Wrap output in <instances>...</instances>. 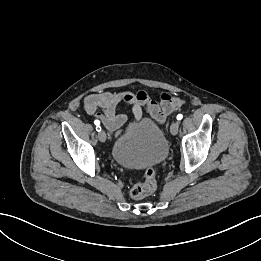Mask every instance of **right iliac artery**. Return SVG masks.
<instances>
[{"label":"right iliac artery","mask_w":261,"mask_h":261,"mask_svg":"<svg viewBox=\"0 0 261 261\" xmlns=\"http://www.w3.org/2000/svg\"><path fill=\"white\" fill-rule=\"evenodd\" d=\"M94 124L96 125V131L100 132L101 131L100 121L99 120H95Z\"/></svg>","instance_id":"1"}]
</instances>
